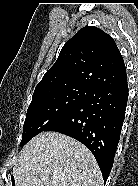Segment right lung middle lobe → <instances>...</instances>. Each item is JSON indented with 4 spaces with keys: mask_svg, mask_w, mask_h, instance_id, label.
Listing matches in <instances>:
<instances>
[{
    "mask_svg": "<svg viewBox=\"0 0 138 186\" xmlns=\"http://www.w3.org/2000/svg\"><path fill=\"white\" fill-rule=\"evenodd\" d=\"M89 91L86 86L70 85L34 93L27 110L20 146L65 117L85 100Z\"/></svg>",
    "mask_w": 138,
    "mask_h": 186,
    "instance_id": "1",
    "label": "right lung middle lobe"
}]
</instances>
